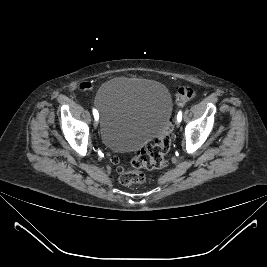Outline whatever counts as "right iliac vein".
<instances>
[{"mask_svg":"<svg viewBox=\"0 0 267 267\" xmlns=\"http://www.w3.org/2000/svg\"><path fill=\"white\" fill-rule=\"evenodd\" d=\"M94 127L97 128L98 127V122L94 121Z\"/></svg>","mask_w":267,"mask_h":267,"instance_id":"63e3f726","label":"right iliac vein"}]
</instances>
